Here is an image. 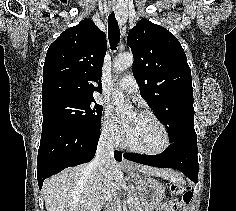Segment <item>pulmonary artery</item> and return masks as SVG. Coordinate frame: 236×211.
<instances>
[{
	"label": "pulmonary artery",
	"mask_w": 236,
	"mask_h": 211,
	"mask_svg": "<svg viewBox=\"0 0 236 211\" xmlns=\"http://www.w3.org/2000/svg\"><path fill=\"white\" fill-rule=\"evenodd\" d=\"M118 88L128 94H133L138 91L139 85L134 76L127 75L119 82Z\"/></svg>",
	"instance_id": "1"
}]
</instances>
